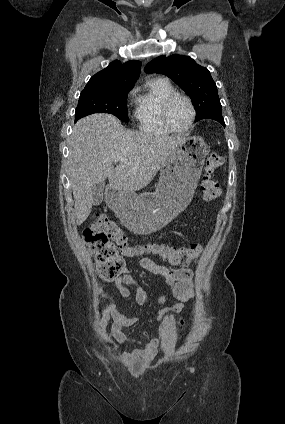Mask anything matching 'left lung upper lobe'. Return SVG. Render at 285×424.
Wrapping results in <instances>:
<instances>
[{
	"label": "left lung upper lobe",
	"instance_id": "1",
	"mask_svg": "<svg viewBox=\"0 0 285 424\" xmlns=\"http://www.w3.org/2000/svg\"><path fill=\"white\" fill-rule=\"evenodd\" d=\"M146 73H162L172 79L191 98L196 109V121L221 112L217 86L207 68L198 65L189 56H159L149 62Z\"/></svg>",
	"mask_w": 285,
	"mask_h": 424
}]
</instances>
